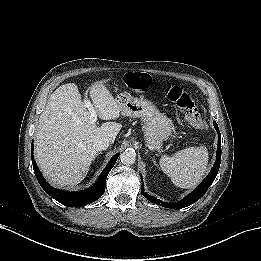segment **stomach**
I'll return each mask as SVG.
<instances>
[{
    "label": "stomach",
    "instance_id": "1",
    "mask_svg": "<svg viewBox=\"0 0 261 261\" xmlns=\"http://www.w3.org/2000/svg\"><path fill=\"white\" fill-rule=\"evenodd\" d=\"M116 101L122 115L142 120L146 147L160 150L162 142L172 133L171 120L149 100L121 93Z\"/></svg>",
    "mask_w": 261,
    "mask_h": 261
}]
</instances>
